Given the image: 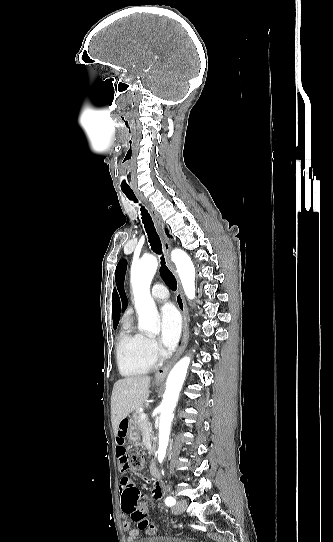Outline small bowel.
Wrapping results in <instances>:
<instances>
[{
  "instance_id": "1",
  "label": "small bowel",
  "mask_w": 333,
  "mask_h": 542,
  "mask_svg": "<svg viewBox=\"0 0 333 542\" xmlns=\"http://www.w3.org/2000/svg\"><path fill=\"white\" fill-rule=\"evenodd\" d=\"M129 432V423L127 419L121 420L119 423L117 437H116V449H117V458L120 465L121 471L127 467L126 461V438ZM149 481H145V484H149ZM132 484L127 477L122 476L119 480V493L121 501L123 497H130V490ZM165 493V485L160 479H155L152 482L151 497L153 500H160ZM123 512H127L126 508L122 507ZM128 513V512H127ZM122 513L121 519L127 520L128 514ZM122 526L127 532V542H140V532L131 526L129 521H123Z\"/></svg>"
}]
</instances>
